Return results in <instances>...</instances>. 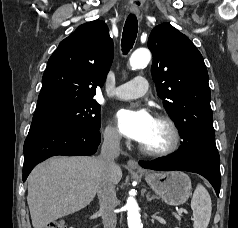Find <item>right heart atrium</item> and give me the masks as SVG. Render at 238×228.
<instances>
[{
	"label": "right heart atrium",
	"instance_id": "d8ad5b80",
	"mask_svg": "<svg viewBox=\"0 0 238 228\" xmlns=\"http://www.w3.org/2000/svg\"><path fill=\"white\" fill-rule=\"evenodd\" d=\"M104 141L112 146H118L121 142V136L118 130L112 126L108 125L103 132Z\"/></svg>",
	"mask_w": 238,
	"mask_h": 228
}]
</instances>
